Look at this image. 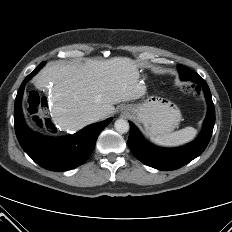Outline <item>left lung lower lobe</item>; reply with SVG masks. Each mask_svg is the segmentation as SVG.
Masks as SVG:
<instances>
[{"label": "left lung lower lobe", "instance_id": "0a47b994", "mask_svg": "<svg viewBox=\"0 0 232 232\" xmlns=\"http://www.w3.org/2000/svg\"><path fill=\"white\" fill-rule=\"evenodd\" d=\"M182 80H191L202 88L207 100L208 111L200 135L190 144L179 148H160L146 141L140 131L130 122L128 145L135 157L142 163L164 171L178 169L196 157L207 147L215 124V108L209 87L197 73L179 65Z\"/></svg>", "mask_w": 232, "mask_h": 232}]
</instances>
